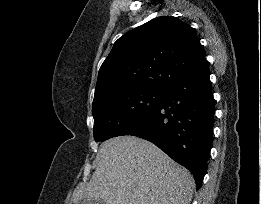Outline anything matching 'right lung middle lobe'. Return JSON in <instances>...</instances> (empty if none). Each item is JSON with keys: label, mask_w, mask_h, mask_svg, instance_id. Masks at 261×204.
Masks as SVG:
<instances>
[{"label": "right lung middle lobe", "mask_w": 261, "mask_h": 204, "mask_svg": "<svg viewBox=\"0 0 261 204\" xmlns=\"http://www.w3.org/2000/svg\"><path fill=\"white\" fill-rule=\"evenodd\" d=\"M162 97L163 91L148 89L120 90L107 94L92 105L95 141L119 136L152 110Z\"/></svg>", "instance_id": "dd1d6c3e"}]
</instances>
